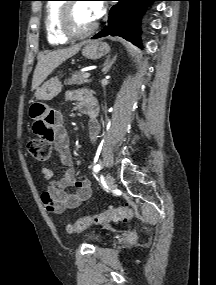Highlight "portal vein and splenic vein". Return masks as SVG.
Instances as JSON below:
<instances>
[{
    "instance_id": "portal-vein-and-splenic-vein-1",
    "label": "portal vein and splenic vein",
    "mask_w": 216,
    "mask_h": 285,
    "mask_svg": "<svg viewBox=\"0 0 216 285\" xmlns=\"http://www.w3.org/2000/svg\"><path fill=\"white\" fill-rule=\"evenodd\" d=\"M90 76H91V74L89 72H87L83 75L84 78H89Z\"/></svg>"
}]
</instances>
